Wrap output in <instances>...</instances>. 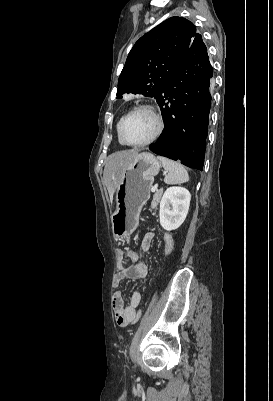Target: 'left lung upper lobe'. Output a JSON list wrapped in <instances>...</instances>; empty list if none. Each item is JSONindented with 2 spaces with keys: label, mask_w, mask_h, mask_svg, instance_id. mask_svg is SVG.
<instances>
[{
  "label": "left lung upper lobe",
  "mask_w": 273,
  "mask_h": 401,
  "mask_svg": "<svg viewBox=\"0 0 273 401\" xmlns=\"http://www.w3.org/2000/svg\"><path fill=\"white\" fill-rule=\"evenodd\" d=\"M200 36L191 21L177 16L146 33L128 54L119 77L117 98L134 93L156 99Z\"/></svg>",
  "instance_id": "5c2ea615"
}]
</instances>
